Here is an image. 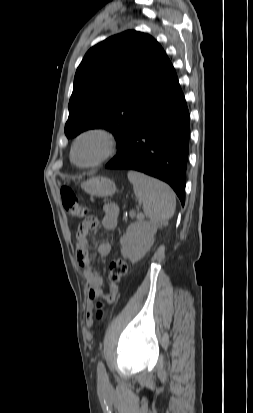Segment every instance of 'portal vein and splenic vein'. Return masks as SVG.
I'll use <instances>...</instances> for the list:
<instances>
[{
  "label": "portal vein and splenic vein",
  "mask_w": 253,
  "mask_h": 413,
  "mask_svg": "<svg viewBox=\"0 0 253 413\" xmlns=\"http://www.w3.org/2000/svg\"><path fill=\"white\" fill-rule=\"evenodd\" d=\"M131 214H132V215H135V212L133 211V212H131Z\"/></svg>",
  "instance_id": "obj_1"
}]
</instances>
